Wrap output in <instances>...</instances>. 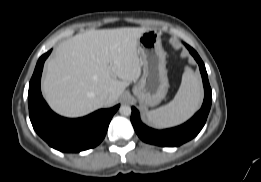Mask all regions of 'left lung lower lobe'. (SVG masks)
Segmentation results:
<instances>
[{
  "label": "left lung lower lobe",
  "instance_id": "1",
  "mask_svg": "<svg viewBox=\"0 0 261 182\" xmlns=\"http://www.w3.org/2000/svg\"><path fill=\"white\" fill-rule=\"evenodd\" d=\"M187 49L197 61L203 79L205 97L201 109L186 123L165 130H155L144 125L139 116V112L132 107L131 122L139 138L149 144L158 146H180L181 144L194 138L205 125L208 113L211 108L212 91L209 85L205 65L197 52L186 44Z\"/></svg>",
  "mask_w": 261,
  "mask_h": 182
}]
</instances>
